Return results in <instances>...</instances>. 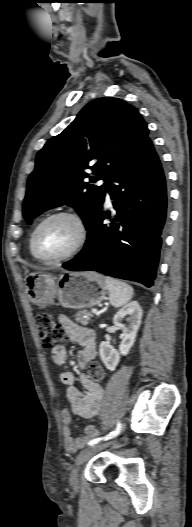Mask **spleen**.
Wrapping results in <instances>:
<instances>
[{
    "label": "spleen",
    "mask_w": 192,
    "mask_h": 527,
    "mask_svg": "<svg viewBox=\"0 0 192 527\" xmlns=\"http://www.w3.org/2000/svg\"><path fill=\"white\" fill-rule=\"evenodd\" d=\"M104 283L106 289L109 291L110 303L115 308L127 304L134 295L133 288L123 281L106 276Z\"/></svg>",
    "instance_id": "spleen-1"
}]
</instances>
